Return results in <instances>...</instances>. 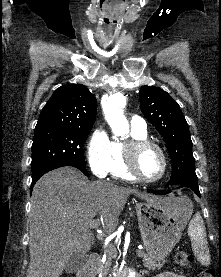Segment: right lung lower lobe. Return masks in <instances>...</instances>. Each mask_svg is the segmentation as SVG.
<instances>
[{
    "instance_id": "1",
    "label": "right lung lower lobe",
    "mask_w": 221,
    "mask_h": 277,
    "mask_svg": "<svg viewBox=\"0 0 221 277\" xmlns=\"http://www.w3.org/2000/svg\"><path fill=\"white\" fill-rule=\"evenodd\" d=\"M73 167H76V168H78L79 170H81L86 176L88 175L87 174V171L85 170V169H83V168H81V167H78V166H73ZM40 178V177H39ZM39 178H36V179H32V184H31V192H32V189H33V186H34V184L36 183V181L39 179Z\"/></svg>"
}]
</instances>
